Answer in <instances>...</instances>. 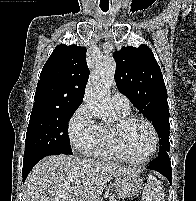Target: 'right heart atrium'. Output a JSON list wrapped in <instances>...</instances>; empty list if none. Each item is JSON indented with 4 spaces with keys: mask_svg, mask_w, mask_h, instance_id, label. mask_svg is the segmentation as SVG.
I'll return each instance as SVG.
<instances>
[{
    "mask_svg": "<svg viewBox=\"0 0 196 201\" xmlns=\"http://www.w3.org/2000/svg\"><path fill=\"white\" fill-rule=\"evenodd\" d=\"M68 134L72 147L81 154H91L99 144L101 126L87 104L82 103L70 117Z\"/></svg>",
    "mask_w": 196,
    "mask_h": 201,
    "instance_id": "1",
    "label": "right heart atrium"
}]
</instances>
